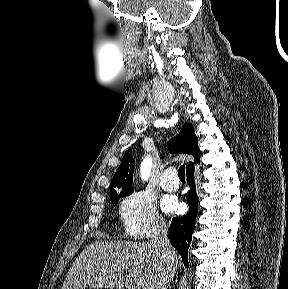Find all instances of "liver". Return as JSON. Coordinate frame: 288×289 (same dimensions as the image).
<instances>
[{
    "label": "liver",
    "mask_w": 288,
    "mask_h": 289,
    "mask_svg": "<svg viewBox=\"0 0 288 289\" xmlns=\"http://www.w3.org/2000/svg\"><path fill=\"white\" fill-rule=\"evenodd\" d=\"M178 264V253L174 250ZM164 264L153 243L95 241L71 265L62 289L163 288ZM126 271V278L121 272ZM100 276H97V274Z\"/></svg>",
    "instance_id": "liver-1"
}]
</instances>
